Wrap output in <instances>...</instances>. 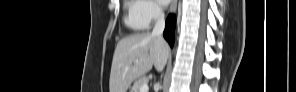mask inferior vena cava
I'll list each match as a JSON object with an SVG mask.
<instances>
[{"mask_svg": "<svg viewBox=\"0 0 296 92\" xmlns=\"http://www.w3.org/2000/svg\"><path fill=\"white\" fill-rule=\"evenodd\" d=\"M157 21L152 31L153 36H162L163 30L165 28L164 13L160 7L155 8Z\"/></svg>", "mask_w": 296, "mask_h": 92, "instance_id": "obj_1", "label": "inferior vena cava"}]
</instances>
